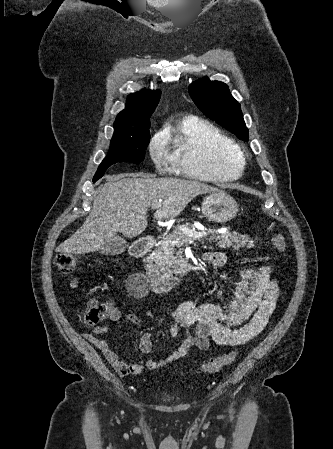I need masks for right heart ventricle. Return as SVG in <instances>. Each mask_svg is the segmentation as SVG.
<instances>
[{"mask_svg": "<svg viewBox=\"0 0 333 449\" xmlns=\"http://www.w3.org/2000/svg\"><path fill=\"white\" fill-rule=\"evenodd\" d=\"M172 169L201 181L234 180L245 159L233 140L214 124L195 118L180 121L168 138Z\"/></svg>", "mask_w": 333, "mask_h": 449, "instance_id": "1", "label": "right heart ventricle"}]
</instances>
